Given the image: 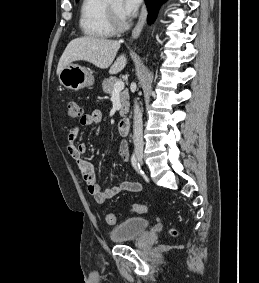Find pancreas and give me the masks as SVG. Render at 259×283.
I'll return each mask as SVG.
<instances>
[{
  "label": "pancreas",
  "instance_id": "obj_1",
  "mask_svg": "<svg viewBox=\"0 0 259 283\" xmlns=\"http://www.w3.org/2000/svg\"><path fill=\"white\" fill-rule=\"evenodd\" d=\"M120 81L118 78L116 77H110L108 79H104L103 83H102V88L104 93L108 94V95H112L113 94V88L116 82ZM120 100H121V109L119 111L120 116H124L125 114L128 113V109H129V93H128V89H125L123 91L120 92Z\"/></svg>",
  "mask_w": 259,
  "mask_h": 283
}]
</instances>
